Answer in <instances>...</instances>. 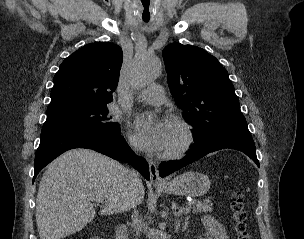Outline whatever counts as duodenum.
<instances>
[{
    "label": "duodenum",
    "mask_w": 304,
    "mask_h": 239,
    "mask_svg": "<svg viewBox=\"0 0 304 239\" xmlns=\"http://www.w3.org/2000/svg\"><path fill=\"white\" fill-rule=\"evenodd\" d=\"M115 239H127V228L125 225H119L115 232Z\"/></svg>",
    "instance_id": "1"
}]
</instances>
